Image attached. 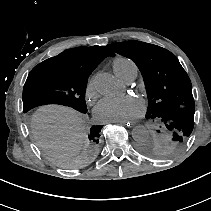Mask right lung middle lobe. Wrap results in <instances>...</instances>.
Returning <instances> with one entry per match:
<instances>
[{"mask_svg": "<svg viewBox=\"0 0 211 211\" xmlns=\"http://www.w3.org/2000/svg\"><path fill=\"white\" fill-rule=\"evenodd\" d=\"M90 74L91 71L73 66L45 62L38 64L29 73L24 85L23 112L40 105L61 104L86 113L85 90ZM102 127L96 125L90 128V158L97 152Z\"/></svg>", "mask_w": 211, "mask_h": 211, "instance_id": "obj_1", "label": "right lung middle lobe"}]
</instances>
